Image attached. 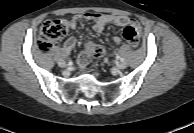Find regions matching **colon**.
Returning <instances> with one entry per match:
<instances>
[{"label":"colon","mask_w":194,"mask_h":133,"mask_svg":"<svg viewBox=\"0 0 194 133\" xmlns=\"http://www.w3.org/2000/svg\"><path fill=\"white\" fill-rule=\"evenodd\" d=\"M69 29V22L65 19H53L45 21L40 28V35L37 41L39 50L46 52L52 44L66 35ZM123 36L127 42L133 47L139 46V36L134 28L126 27ZM104 53L100 45L93 44L89 50L79 54L77 58V67L83 70L90 61L91 57H100Z\"/></svg>","instance_id":"colon-1"}]
</instances>
